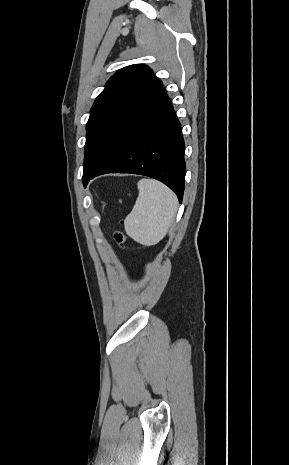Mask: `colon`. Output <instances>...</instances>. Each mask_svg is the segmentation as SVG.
<instances>
[{
	"mask_svg": "<svg viewBox=\"0 0 289 465\" xmlns=\"http://www.w3.org/2000/svg\"><path fill=\"white\" fill-rule=\"evenodd\" d=\"M114 240L116 241V243L118 244L121 250L125 248L126 242H127V236L122 230L116 231L114 233Z\"/></svg>",
	"mask_w": 289,
	"mask_h": 465,
	"instance_id": "5ec220e1",
	"label": "colon"
}]
</instances>
